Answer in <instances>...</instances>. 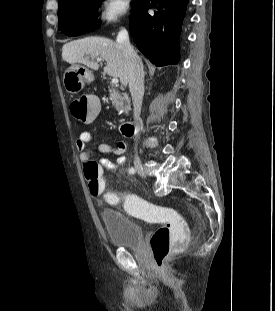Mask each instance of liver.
<instances>
[{
  "instance_id": "1",
  "label": "liver",
  "mask_w": 275,
  "mask_h": 311,
  "mask_svg": "<svg viewBox=\"0 0 275 311\" xmlns=\"http://www.w3.org/2000/svg\"><path fill=\"white\" fill-rule=\"evenodd\" d=\"M88 57L106 61L104 72L118 77L123 86L128 84V59L117 43L104 37H86L66 43L62 48V59L70 64L81 63L98 70L99 64Z\"/></svg>"
}]
</instances>
